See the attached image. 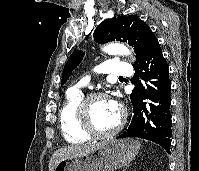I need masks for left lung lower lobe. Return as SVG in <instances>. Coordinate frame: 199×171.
Here are the masks:
<instances>
[{
    "instance_id": "obj_1",
    "label": "left lung lower lobe",
    "mask_w": 199,
    "mask_h": 171,
    "mask_svg": "<svg viewBox=\"0 0 199 171\" xmlns=\"http://www.w3.org/2000/svg\"><path fill=\"white\" fill-rule=\"evenodd\" d=\"M145 83L135 79L131 97L133 118L117 138L138 137L153 141L168 153L171 146V81L168 64L156 39L135 64Z\"/></svg>"
}]
</instances>
